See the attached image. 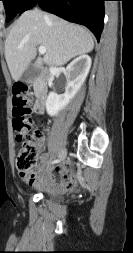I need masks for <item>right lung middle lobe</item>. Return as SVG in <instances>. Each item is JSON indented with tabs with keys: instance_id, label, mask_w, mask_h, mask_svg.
Here are the masks:
<instances>
[{
	"instance_id": "1",
	"label": "right lung middle lobe",
	"mask_w": 133,
	"mask_h": 253,
	"mask_svg": "<svg viewBox=\"0 0 133 253\" xmlns=\"http://www.w3.org/2000/svg\"><path fill=\"white\" fill-rule=\"evenodd\" d=\"M4 3L6 22L11 21L21 10L26 0H0Z\"/></svg>"
}]
</instances>
